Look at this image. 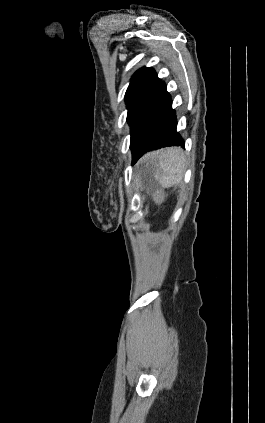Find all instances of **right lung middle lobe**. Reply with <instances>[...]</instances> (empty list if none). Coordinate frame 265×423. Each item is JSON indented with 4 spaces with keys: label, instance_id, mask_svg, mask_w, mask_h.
I'll list each match as a JSON object with an SVG mask.
<instances>
[{
    "label": "right lung middle lobe",
    "instance_id": "right-lung-middle-lobe-1",
    "mask_svg": "<svg viewBox=\"0 0 265 423\" xmlns=\"http://www.w3.org/2000/svg\"><path fill=\"white\" fill-rule=\"evenodd\" d=\"M146 98L147 96H136L126 99V106L128 109L127 121L130 125L132 124L136 113L139 111Z\"/></svg>",
    "mask_w": 265,
    "mask_h": 423
}]
</instances>
